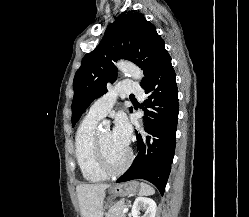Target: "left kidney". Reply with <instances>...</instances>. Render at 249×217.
<instances>
[{
  "mask_svg": "<svg viewBox=\"0 0 249 217\" xmlns=\"http://www.w3.org/2000/svg\"><path fill=\"white\" fill-rule=\"evenodd\" d=\"M156 203L151 198L146 197H138L135 199L132 210L131 216L132 217H155L156 214ZM144 211V215L141 216L140 211Z\"/></svg>",
  "mask_w": 249,
  "mask_h": 217,
  "instance_id": "left-kidney-1",
  "label": "left kidney"
}]
</instances>
